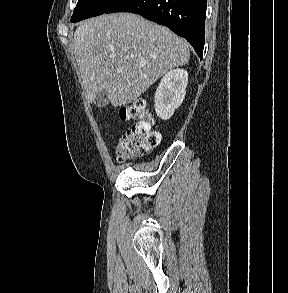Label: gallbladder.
Returning a JSON list of instances; mask_svg holds the SVG:
<instances>
[{
    "label": "gallbladder",
    "mask_w": 288,
    "mask_h": 293,
    "mask_svg": "<svg viewBox=\"0 0 288 293\" xmlns=\"http://www.w3.org/2000/svg\"><path fill=\"white\" fill-rule=\"evenodd\" d=\"M93 102L97 107H100V108L105 107L109 103V97H108L107 91L102 90L97 92Z\"/></svg>",
    "instance_id": "1"
}]
</instances>
